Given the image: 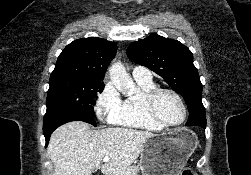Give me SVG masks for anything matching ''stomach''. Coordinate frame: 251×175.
Returning <instances> with one entry per match:
<instances>
[{
  "label": "stomach",
  "mask_w": 251,
  "mask_h": 175,
  "mask_svg": "<svg viewBox=\"0 0 251 175\" xmlns=\"http://www.w3.org/2000/svg\"><path fill=\"white\" fill-rule=\"evenodd\" d=\"M198 143L196 133L187 127L148 137L138 163L142 175H179Z\"/></svg>",
  "instance_id": "0dacf381"
}]
</instances>
